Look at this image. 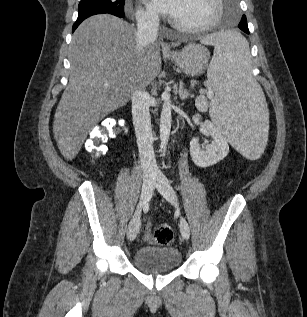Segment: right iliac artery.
Here are the masks:
<instances>
[{"label":"right iliac artery","instance_id":"1","mask_svg":"<svg viewBox=\"0 0 307 317\" xmlns=\"http://www.w3.org/2000/svg\"><path fill=\"white\" fill-rule=\"evenodd\" d=\"M148 207H149V203L147 202V203L145 204L144 208H145V209H148Z\"/></svg>","mask_w":307,"mask_h":317}]
</instances>
